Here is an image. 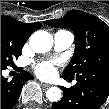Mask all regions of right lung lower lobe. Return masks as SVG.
I'll use <instances>...</instances> for the list:
<instances>
[{
  "mask_svg": "<svg viewBox=\"0 0 109 109\" xmlns=\"http://www.w3.org/2000/svg\"><path fill=\"white\" fill-rule=\"evenodd\" d=\"M32 78L26 71H21L12 81L1 75V109H12L18 101L24 82Z\"/></svg>",
  "mask_w": 109,
  "mask_h": 109,
  "instance_id": "1",
  "label": "right lung lower lobe"
}]
</instances>
